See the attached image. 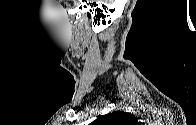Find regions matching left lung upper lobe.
Wrapping results in <instances>:
<instances>
[{
	"instance_id": "5c2ea615",
	"label": "left lung upper lobe",
	"mask_w": 196,
	"mask_h": 125,
	"mask_svg": "<svg viewBox=\"0 0 196 125\" xmlns=\"http://www.w3.org/2000/svg\"><path fill=\"white\" fill-rule=\"evenodd\" d=\"M95 125H136L137 120L129 113L116 111L103 116H99L95 121Z\"/></svg>"
}]
</instances>
